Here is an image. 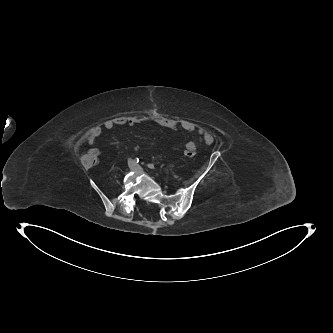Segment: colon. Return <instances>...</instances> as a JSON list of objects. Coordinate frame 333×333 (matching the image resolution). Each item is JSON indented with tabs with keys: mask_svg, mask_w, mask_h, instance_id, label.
<instances>
[{
	"mask_svg": "<svg viewBox=\"0 0 333 333\" xmlns=\"http://www.w3.org/2000/svg\"><path fill=\"white\" fill-rule=\"evenodd\" d=\"M183 155L186 158H190L192 157L193 159H196L199 156V153L196 150L191 151L190 149H186L183 152ZM97 162V157L95 154H93L92 152H88L85 155L82 156L81 158V163L83 166L85 167H91L93 165H95Z\"/></svg>",
	"mask_w": 333,
	"mask_h": 333,
	"instance_id": "5ec220e1",
	"label": "colon"
}]
</instances>
